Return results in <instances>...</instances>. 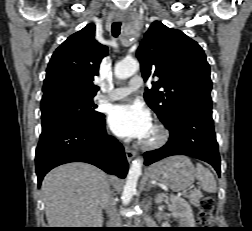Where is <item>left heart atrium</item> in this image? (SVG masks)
I'll list each match as a JSON object with an SVG mask.
<instances>
[{
    "label": "left heart atrium",
    "mask_w": 252,
    "mask_h": 231,
    "mask_svg": "<svg viewBox=\"0 0 252 231\" xmlns=\"http://www.w3.org/2000/svg\"><path fill=\"white\" fill-rule=\"evenodd\" d=\"M108 123L117 136L125 139L145 140L153 128L149 111L138 102L114 106Z\"/></svg>",
    "instance_id": "39dd6f15"
}]
</instances>
